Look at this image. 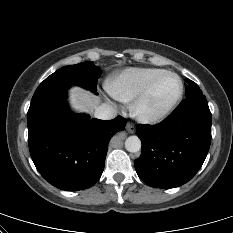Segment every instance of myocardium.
Returning a JSON list of instances; mask_svg holds the SVG:
<instances>
[{
    "instance_id": "f54148a6",
    "label": "myocardium",
    "mask_w": 233,
    "mask_h": 233,
    "mask_svg": "<svg viewBox=\"0 0 233 233\" xmlns=\"http://www.w3.org/2000/svg\"><path fill=\"white\" fill-rule=\"evenodd\" d=\"M164 76H173L178 82V93L174 99L167 104L162 110L149 114L143 110V106L151 94L153 88L157 82ZM184 93V85L180 76L171 71H163L155 76L145 87L144 89L132 100L131 103V112L133 116L142 123L154 124L164 120L168 117L176 106L180 103Z\"/></svg>"
}]
</instances>
